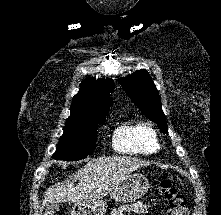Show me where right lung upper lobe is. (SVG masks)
Masks as SVG:
<instances>
[{
    "label": "right lung upper lobe",
    "instance_id": "1",
    "mask_svg": "<svg viewBox=\"0 0 221 215\" xmlns=\"http://www.w3.org/2000/svg\"><path fill=\"white\" fill-rule=\"evenodd\" d=\"M114 90L111 78H87L80 85V91L73 97L71 116L87 119L106 118L112 104L110 93Z\"/></svg>",
    "mask_w": 221,
    "mask_h": 215
}]
</instances>
